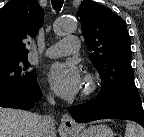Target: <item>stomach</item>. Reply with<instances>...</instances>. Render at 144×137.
<instances>
[{
    "label": "stomach",
    "mask_w": 144,
    "mask_h": 137,
    "mask_svg": "<svg viewBox=\"0 0 144 137\" xmlns=\"http://www.w3.org/2000/svg\"><path fill=\"white\" fill-rule=\"evenodd\" d=\"M75 137H114L113 131L104 124H97L81 131H72Z\"/></svg>",
    "instance_id": "1"
}]
</instances>
